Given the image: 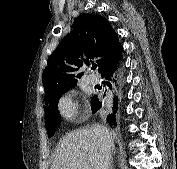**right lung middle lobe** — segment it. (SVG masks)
<instances>
[{
  "label": "right lung middle lobe",
  "mask_w": 177,
  "mask_h": 169,
  "mask_svg": "<svg viewBox=\"0 0 177 169\" xmlns=\"http://www.w3.org/2000/svg\"><path fill=\"white\" fill-rule=\"evenodd\" d=\"M61 95L56 100H53L51 102H46V104L48 103L50 104V107L45 108L46 126H47V132H48L49 137L54 134L57 124L60 121V116L57 110V104H58V100L61 97Z\"/></svg>",
  "instance_id": "1"
}]
</instances>
